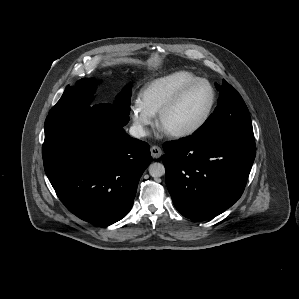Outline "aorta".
I'll return each mask as SVG.
<instances>
[{"instance_id": "aorta-1", "label": "aorta", "mask_w": 299, "mask_h": 299, "mask_svg": "<svg viewBox=\"0 0 299 299\" xmlns=\"http://www.w3.org/2000/svg\"><path fill=\"white\" fill-rule=\"evenodd\" d=\"M149 174L153 177V178H158L161 177L165 174V167L163 164L158 163V162H154L152 164H150L149 166Z\"/></svg>"}]
</instances>
